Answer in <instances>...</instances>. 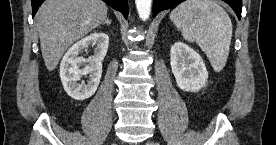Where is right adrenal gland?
<instances>
[{
  "mask_svg": "<svg viewBox=\"0 0 276 145\" xmlns=\"http://www.w3.org/2000/svg\"><path fill=\"white\" fill-rule=\"evenodd\" d=\"M111 20L110 19H106L105 22L103 23V25H111Z\"/></svg>",
  "mask_w": 276,
  "mask_h": 145,
  "instance_id": "right-adrenal-gland-1",
  "label": "right adrenal gland"
}]
</instances>
